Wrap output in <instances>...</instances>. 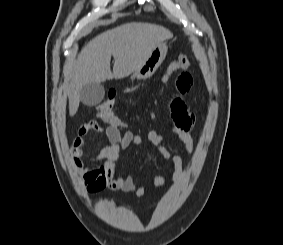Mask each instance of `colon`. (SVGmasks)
Returning <instances> with one entry per match:
<instances>
[{
    "instance_id": "obj_1",
    "label": "colon",
    "mask_w": 283,
    "mask_h": 245,
    "mask_svg": "<svg viewBox=\"0 0 283 245\" xmlns=\"http://www.w3.org/2000/svg\"><path fill=\"white\" fill-rule=\"evenodd\" d=\"M190 66V60L186 54H181L169 65L166 72L162 75L161 80H165L168 75L177 69H184ZM116 101V94L114 91H110L107 98L101 102L97 109L99 117L104 122L119 127L121 122L114 113V105Z\"/></svg>"
}]
</instances>
